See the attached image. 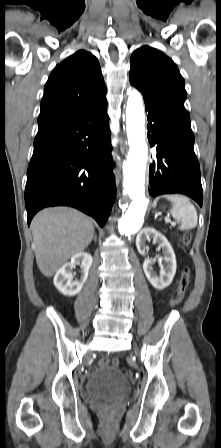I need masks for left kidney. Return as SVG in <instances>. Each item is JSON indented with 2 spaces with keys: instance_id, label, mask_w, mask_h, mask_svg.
Segmentation results:
<instances>
[{
  "instance_id": "obj_1",
  "label": "left kidney",
  "mask_w": 221,
  "mask_h": 448,
  "mask_svg": "<svg viewBox=\"0 0 221 448\" xmlns=\"http://www.w3.org/2000/svg\"><path fill=\"white\" fill-rule=\"evenodd\" d=\"M150 239H153V243H158L159 248L163 249L164 256L161 258L160 263L164 260L165 267L160 271V275L157 276L153 272L151 260L145 258L143 270L151 285L158 290H162L169 286L174 278L177 267L176 257L174 250L166 237L152 227L143 228L137 235L136 247L141 255H145L146 241Z\"/></svg>"
}]
</instances>
